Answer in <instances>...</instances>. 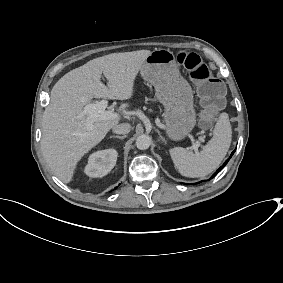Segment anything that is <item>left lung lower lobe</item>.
I'll return each instance as SVG.
<instances>
[{"mask_svg": "<svg viewBox=\"0 0 283 283\" xmlns=\"http://www.w3.org/2000/svg\"><path fill=\"white\" fill-rule=\"evenodd\" d=\"M234 152L235 150L231 153V156L226 160V162L212 175L211 179L214 178L224 168V166L228 163Z\"/></svg>", "mask_w": 283, "mask_h": 283, "instance_id": "obj_1", "label": "left lung lower lobe"}]
</instances>
